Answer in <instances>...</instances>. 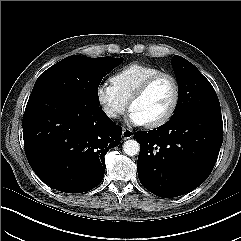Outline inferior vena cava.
Returning <instances> with one entry per match:
<instances>
[{
    "mask_svg": "<svg viewBox=\"0 0 241 241\" xmlns=\"http://www.w3.org/2000/svg\"><path fill=\"white\" fill-rule=\"evenodd\" d=\"M106 114L111 118H116L117 113L113 109H107Z\"/></svg>",
    "mask_w": 241,
    "mask_h": 241,
    "instance_id": "obj_1",
    "label": "inferior vena cava"
}]
</instances>
